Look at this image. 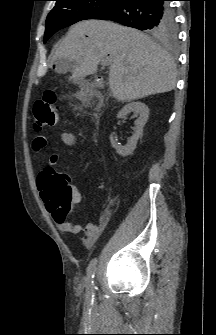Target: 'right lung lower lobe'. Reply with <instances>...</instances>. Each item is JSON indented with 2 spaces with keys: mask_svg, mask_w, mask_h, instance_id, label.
Segmentation results:
<instances>
[{
  "mask_svg": "<svg viewBox=\"0 0 216 335\" xmlns=\"http://www.w3.org/2000/svg\"><path fill=\"white\" fill-rule=\"evenodd\" d=\"M93 19L111 20L152 34L175 24L167 0H116Z\"/></svg>",
  "mask_w": 216,
  "mask_h": 335,
  "instance_id": "right-lung-lower-lobe-1",
  "label": "right lung lower lobe"
}]
</instances>
